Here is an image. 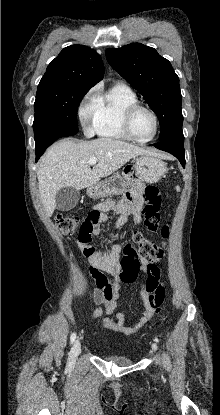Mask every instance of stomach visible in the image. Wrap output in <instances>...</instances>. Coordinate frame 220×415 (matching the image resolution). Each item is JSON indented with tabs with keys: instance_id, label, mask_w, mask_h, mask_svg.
Segmentation results:
<instances>
[{
	"instance_id": "obj_1",
	"label": "stomach",
	"mask_w": 220,
	"mask_h": 415,
	"mask_svg": "<svg viewBox=\"0 0 220 415\" xmlns=\"http://www.w3.org/2000/svg\"><path fill=\"white\" fill-rule=\"evenodd\" d=\"M136 174L147 183L159 181L166 172V165L152 155H141L135 161ZM127 177L114 174L87 189V194L92 198L109 197L121 195L126 190Z\"/></svg>"
}]
</instances>
